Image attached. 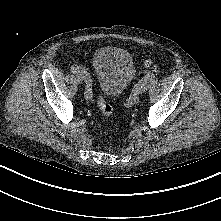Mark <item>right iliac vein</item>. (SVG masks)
<instances>
[{"instance_id": "1", "label": "right iliac vein", "mask_w": 221, "mask_h": 221, "mask_svg": "<svg viewBox=\"0 0 221 221\" xmlns=\"http://www.w3.org/2000/svg\"><path fill=\"white\" fill-rule=\"evenodd\" d=\"M76 79H77V82L78 83H82L83 79H82V76L81 75H76Z\"/></svg>"}]
</instances>
